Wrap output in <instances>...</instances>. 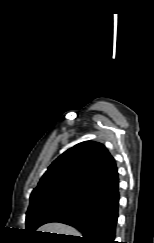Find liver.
<instances>
[{"label":"liver","mask_w":154,"mask_h":243,"mask_svg":"<svg viewBox=\"0 0 154 243\" xmlns=\"http://www.w3.org/2000/svg\"><path fill=\"white\" fill-rule=\"evenodd\" d=\"M38 231L64 234V235H72V236L80 235V233L75 228L62 224V223L45 224L42 227H40Z\"/></svg>","instance_id":"6515ba94"}]
</instances>
